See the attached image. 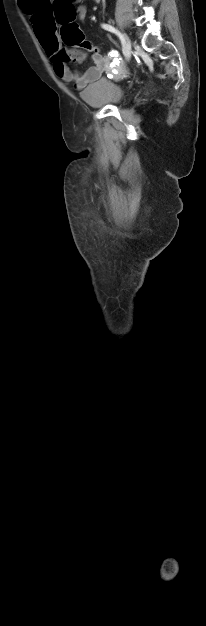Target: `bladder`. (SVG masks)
I'll list each match as a JSON object with an SVG mask.
<instances>
[{
	"mask_svg": "<svg viewBox=\"0 0 206 626\" xmlns=\"http://www.w3.org/2000/svg\"><path fill=\"white\" fill-rule=\"evenodd\" d=\"M81 99L92 107L117 105L125 96L124 89L115 82L100 78L86 86L80 94Z\"/></svg>",
	"mask_w": 206,
	"mask_h": 626,
	"instance_id": "obj_1",
	"label": "bladder"
}]
</instances>
